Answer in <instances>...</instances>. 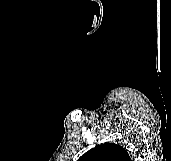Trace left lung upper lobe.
Wrapping results in <instances>:
<instances>
[{
  "instance_id": "1",
  "label": "left lung upper lobe",
  "mask_w": 171,
  "mask_h": 161,
  "mask_svg": "<svg viewBox=\"0 0 171 161\" xmlns=\"http://www.w3.org/2000/svg\"><path fill=\"white\" fill-rule=\"evenodd\" d=\"M77 161H131V158L122 146L104 143L89 150Z\"/></svg>"
}]
</instances>
